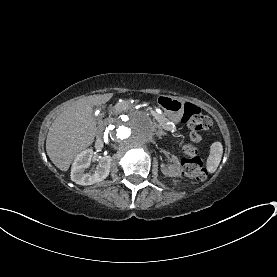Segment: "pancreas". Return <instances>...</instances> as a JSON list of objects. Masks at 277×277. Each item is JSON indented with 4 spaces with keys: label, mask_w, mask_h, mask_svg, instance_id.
Masks as SVG:
<instances>
[{
    "label": "pancreas",
    "mask_w": 277,
    "mask_h": 277,
    "mask_svg": "<svg viewBox=\"0 0 277 277\" xmlns=\"http://www.w3.org/2000/svg\"><path fill=\"white\" fill-rule=\"evenodd\" d=\"M136 110L147 113L153 119H157L158 125L162 127L167 126V116L161 115V111L158 108L146 101H139L138 103L135 101H121L120 103L110 105L107 108V113L110 116H115L121 114L122 112H135Z\"/></svg>",
    "instance_id": "pancreas-1"
}]
</instances>
